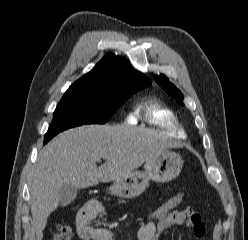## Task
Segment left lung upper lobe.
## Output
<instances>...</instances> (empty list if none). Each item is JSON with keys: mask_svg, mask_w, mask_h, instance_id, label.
<instances>
[{"mask_svg": "<svg viewBox=\"0 0 248 240\" xmlns=\"http://www.w3.org/2000/svg\"><path fill=\"white\" fill-rule=\"evenodd\" d=\"M156 82L171 96L175 97L176 100L183 104V95L172 83L169 82L167 77L163 74L155 77Z\"/></svg>", "mask_w": 248, "mask_h": 240, "instance_id": "obj_1", "label": "left lung upper lobe"}]
</instances>
